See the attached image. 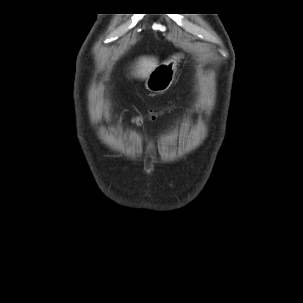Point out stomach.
Returning a JSON list of instances; mask_svg holds the SVG:
<instances>
[{
    "label": "stomach",
    "instance_id": "obj_1",
    "mask_svg": "<svg viewBox=\"0 0 303 303\" xmlns=\"http://www.w3.org/2000/svg\"><path fill=\"white\" fill-rule=\"evenodd\" d=\"M180 58L179 54H175L169 60L157 65L148 75L145 81V88L155 93H163L168 90L174 81Z\"/></svg>",
    "mask_w": 303,
    "mask_h": 303
}]
</instances>
